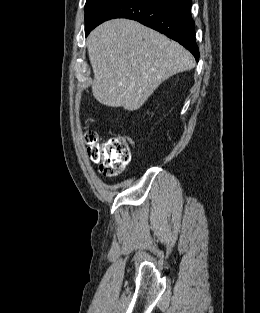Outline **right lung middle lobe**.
I'll use <instances>...</instances> for the list:
<instances>
[{
  "label": "right lung middle lobe",
  "instance_id": "1",
  "mask_svg": "<svg viewBox=\"0 0 260 313\" xmlns=\"http://www.w3.org/2000/svg\"><path fill=\"white\" fill-rule=\"evenodd\" d=\"M117 0H87L85 5V35L95 27L102 15Z\"/></svg>",
  "mask_w": 260,
  "mask_h": 313
}]
</instances>
